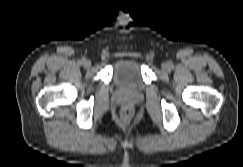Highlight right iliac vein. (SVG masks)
<instances>
[{
	"label": "right iliac vein",
	"mask_w": 243,
	"mask_h": 167,
	"mask_svg": "<svg viewBox=\"0 0 243 167\" xmlns=\"http://www.w3.org/2000/svg\"><path fill=\"white\" fill-rule=\"evenodd\" d=\"M83 65H84V67H86V68H90V67H91V62H90L89 60H85V61L83 62Z\"/></svg>",
	"instance_id": "63e3f726"
}]
</instances>
